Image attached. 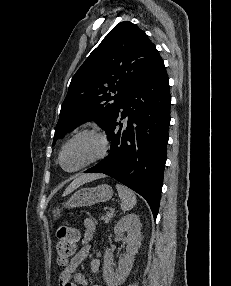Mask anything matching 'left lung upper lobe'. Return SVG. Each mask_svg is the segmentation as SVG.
<instances>
[{
	"label": "left lung upper lobe",
	"instance_id": "left-lung-upper-lobe-1",
	"mask_svg": "<svg viewBox=\"0 0 231 286\" xmlns=\"http://www.w3.org/2000/svg\"><path fill=\"white\" fill-rule=\"evenodd\" d=\"M160 59L143 30L129 21L117 24L72 78L54 143L89 120L106 130L124 94Z\"/></svg>",
	"mask_w": 231,
	"mask_h": 286
}]
</instances>
